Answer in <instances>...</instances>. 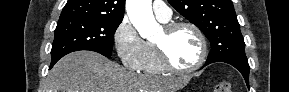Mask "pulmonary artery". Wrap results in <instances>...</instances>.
<instances>
[{
	"instance_id": "e3ab8cb5",
	"label": "pulmonary artery",
	"mask_w": 289,
	"mask_h": 92,
	"mask_svg": "<svg viewBox=\"0 0 289 92\" xmlns=\"http://www.w3.org/2000/svg\"><path fill=\"white\" fill-rule=\"evenodd\" d=\"M152 7L155 16L159 20L166 22L171 18L172 12L165 2L161 0H156L153 2Z\"/></svg>"
}]
</instances>
